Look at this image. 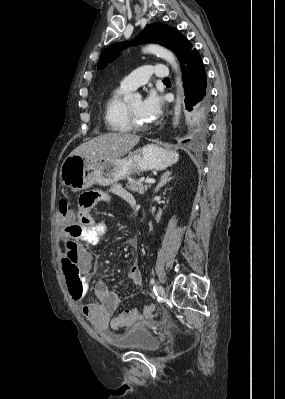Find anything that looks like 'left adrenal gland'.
<instances>
[{"label":"left adrenal gland","mask_w":285,"mask_h":399,"mask_svg":"<svg viewBox=\"0 0 285 399\" xmlns=\"http://www.w3.org/2000/svg\"><path fill=\"white\" fill-rule=\"evenodd\" d=\"M172 172L170 171H166L165 173H163L160 177V182L158 183V185L155 188V193H157L160 188H162L164 185L167 184V182H169L172 177H171Z\"/></svg>","instance_id":"left-adrenal-gland-1"}]
</instances>
